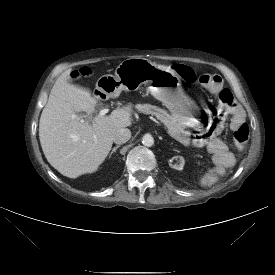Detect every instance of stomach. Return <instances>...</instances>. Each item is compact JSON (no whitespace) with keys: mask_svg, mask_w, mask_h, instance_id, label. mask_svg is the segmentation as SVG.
<instances>
[{"mask_svg":"<svg viewBox=\"0 0 275 275\" xmlns=\"http://www.w3.org/2000/svg\"><path fill=\"white\" fill-rule=\"evenodd\" d=\"M143 84L150 85L149 93L162 102L180 125L194 128L200 124L198 106L183 91L178 72L145 58L124 60L114 75H103L98 79L95 90L100 89L106 96H117L122 90H136Z\"/></svg>","mask_w":275,"mask_h":275,"instance_id":"1","label":"stomach"}]
</instances>
